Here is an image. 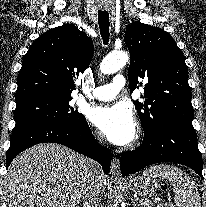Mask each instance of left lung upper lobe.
<instances>
[{
  "instance_id": "1",
  "label": "left lung upper lobe",
  "mask_w": 206,
  "mask_h": 207,
  "mask_svg": "<svg viewBox=\"0 0 206 207\" xmlns=\"http://www.w3.org/2000/svg\"><path fill=\"white\" fill-rule=\"evenodd\" d=\"M130 51L131 91L144 84L143 102L135 107L144 136L173 120H192L191 89L184 55L164 30L140 22L128 26L124 36ZM143 79V82L139 80ZM138 85V86H137Z\"/></svg>"
}]
</instances>
